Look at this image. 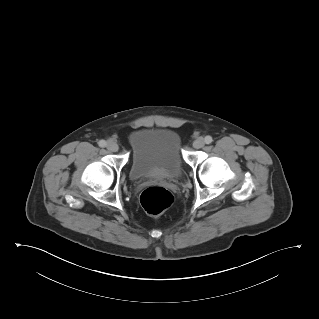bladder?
<instances>
[{
    "label": "bladder",
    "mask_w": 319,
    "mask_h": 319,
    "mask_svg": "<svg viewBox=\"0 0 319 319\" xmlns=\"http://www.w3.org/2000/svg\"><path fill=\"white\" fill-rule=\"evenodd\" d=\"M131 149L129 176L132 180L161 175L178 178L184 171L181 140L167 128H144L128 138Z\"/></svg>",
    "instance_id": "31cf9c89"
}]
</instances>
